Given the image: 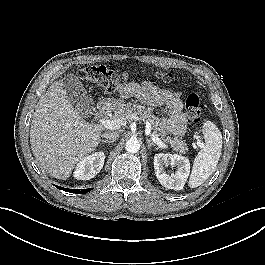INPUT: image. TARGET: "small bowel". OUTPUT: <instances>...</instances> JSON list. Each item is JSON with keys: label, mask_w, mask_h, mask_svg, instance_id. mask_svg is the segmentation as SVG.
Instances as JSON below:
<instances>
[{"label": "small bowel", "mask_w": 265, "mask_h": 265, "mask_svg": "<svg viewBox=\"0 0 265 265\" xmlns=\"http://www.w3.org/2000/svg\"><path fill=\"white\" fill-rule=\"evenodd\" d=\"M121 97H136L150 107H162L167 115L162 118V127L173 135H182L187 120L183 113V103L178 93L163 91L151 82L129 83L121 92Z\"/></svg>", "instance_id": "obj_1"}]
</instances>
